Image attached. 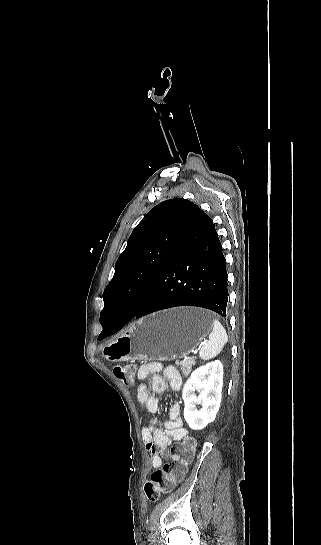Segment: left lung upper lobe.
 <instances>
[{"mask_svg": "<svg viewBox=\"0 0 321 545\" xmlns=\"http://www.w3.org/2000/svg\"><path fill=\"white\" fill-rule=\"evenodd\" d=\"M196 206L181 198L164 201L135 227L103 293L102 325L113 310L133 312L143 302L165 268Z\"/></svg>", "mask_w": 321, "mask_h": 545, "instance_id": "5c2ea615", "label": "left lung upper lobe"}]
</instances>
